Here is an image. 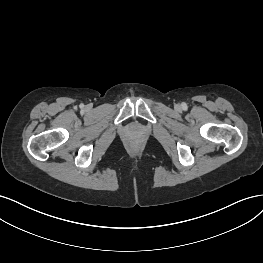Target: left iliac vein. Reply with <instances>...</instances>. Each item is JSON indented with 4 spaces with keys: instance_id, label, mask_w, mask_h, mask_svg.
I'll return each mask as SVG.
<instances>
[{
    "instance_id": "1",
    "label": "left iliac vein",
    "mask_w": 263,
    "mask_h": 263,
    "mask_svg": "<svg viewBox=\"0 0 263 263\" xmlns=\"http://www.w3.org/2000/svg\"><path fill=\"white\" fill-rule=\"evenodd\" d=\"M176 108H177V109H179L180 107H179V106H177Z\"/></svg>"
}]
</instances>
